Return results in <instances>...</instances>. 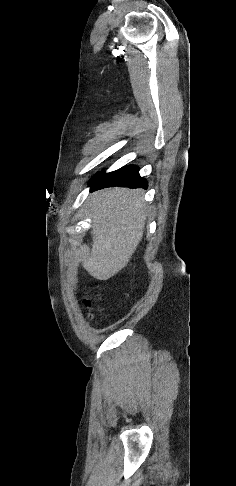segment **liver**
Here are the masks:
<instances>
[{
  "instance_id": "6515ba94",
  "label": "liver",
  "mask_w": 236,
  "mask_h": 486,
  "mask_svg": "<svg viewBox=\"0 0 236 486\" xmlns=\"http://www.w3.org/2000/svg\"><path fill=\"white\" fill-rule=\"evenodd\" d=\"M87 204L93 244L82 264L95 279L107 280L128 264L141 241L146 204L141 190L127 188L94 192Z\"/></svg>"
}]
</instances>
